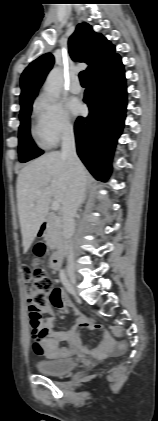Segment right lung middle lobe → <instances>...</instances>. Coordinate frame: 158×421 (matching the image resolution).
Here are the masks:
<instances>
[{
  "label": "right lung middle lobe",
  "instance_id": "dd1d6c3e",
  "mask_svg": "<svg viewBox=\"0 0 158 421\" xmlns=\"http://www.w3.org/2000/svg\"><path fill=\"white\" fill-rule=\"evenodd\" d=\"M33 101H30L26 104L21 105L20 110V127H19V146H18V153H19V160L21 162H27L33 158L38 157L43 152L39 150L31 136H30V114L32 109Z\"/></svg>",
  "mask_w": 158,
  "mask_h": 421
}]
</instances>
